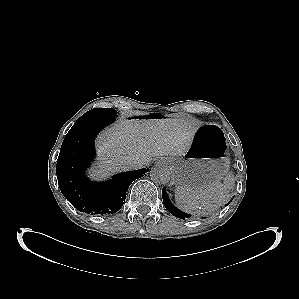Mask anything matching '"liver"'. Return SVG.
Listing matches in <instances>:
<instances>
[{
  "mask_svg": "<svg viewBox=\"0 0 299 299\" xmlns=\"http://www.w3.org/2000/svg\"><path fill=\"white\" fill-rule=\"evenodd\" d=\"M199 126L200 122L186 118L121 120L98 136L100 163L92 176L102 179L129 170V163L134 160L149 164L155 157L182 156Z\"/></svg>",
  "mask_w": 299,
  "mask_h": 299,
  "instance_id": "6515ba94",
  "label": "liver"
}]
</instances>
